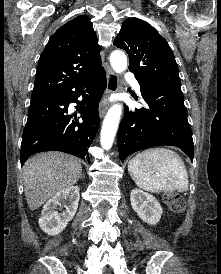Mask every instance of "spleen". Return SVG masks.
<instances>
[{"mask_svg": "<svg viewBox=\"0 0 221 274\" xmlns=\"http://www.w3.org/2000/svg\"><path fill=\"white\" fill-rule=\"evenodd\" d=\"M128 172L139 188L151 193L185 192L189 187L183 160L166 148H150L138 153L129 161Z\"/></svg>", "mask_w": 221, "mask_h": 274, "instance_id": "3e777b00", "label": "spleen"}]
</instances>
